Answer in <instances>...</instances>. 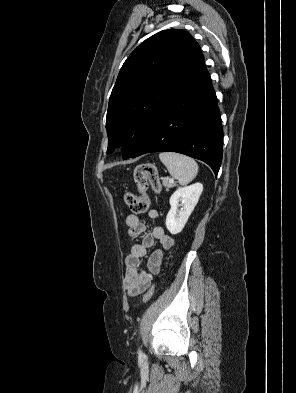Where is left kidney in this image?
<instances>
[{
	"instance_id": "1",
	"label": "left kidney",
	"mask_w": 296,
	"mask_h": 393,
	"mask_svg": "<svg viewBox=\"0 0 296 393\" xmlns=\"http://www.w3.org/2000/svg\"><path fill=\"white\" fill-rule=\"evenodd\" d=\"M202 191L203 185L195 183L186 187H180L171 195V209L166 217V227L171 234L175 235L182 231L198 203ZM180 201H182L183 207L178 210Z\"/></svg>"
}]
</instances>
